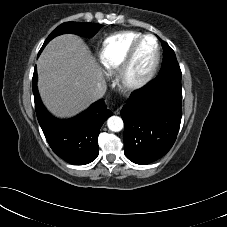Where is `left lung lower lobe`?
Segmentation results:
<instances>
[{
    "instance_id": "0a47b994",
    "label": "left lung lower lobe",
    "mask_w": 227,
    "mask_h": 227,
    "mask_svg": "<svg viewBox=\"0 0 227 227\" xmlns=\"http://www.w3.org/2000/svg\"><path fill=\"white\" fill-rule=\"evenodd\" d=\"M121 117L126 157L140 165L158 160L177 138L182 117L181 82L155 78L131 93Z\"/></svg>"
}]
</instances>
